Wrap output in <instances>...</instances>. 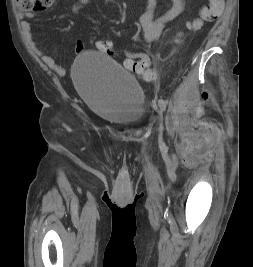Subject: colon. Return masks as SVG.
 <instances>
[{"mask_svg":"<svg viewBox=\"0 0 253 267\" xmlns=\"http://www.w3.org/2000/svg\"><path fill=\"white\" fill-rule=\"evenodd\" d=\"M17 5L24 11H42L49 8L54 0H16ZM209 3L200 11L197 19L188 23L190 31H198L205 23L213 22L219 18L224 8V0H208ZM96 47L100 52L106 54H113L114 47L112 42L108 40H99ZM128 56L124 60V66L130 71L143 74L146 80H151L154 76L150 69V58L143 52L126 51Z\"/></svg>","mask_w":253,"mask_h":267,"instance_id":"colon-1","label":"colon"}]
</instances>
